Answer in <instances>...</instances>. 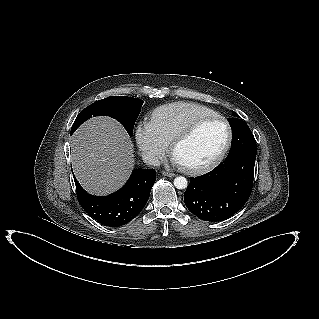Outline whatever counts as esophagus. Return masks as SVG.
Returning a JSON list of instances; mask_svg holds the SVG:
<instances>
[{"label": "esophagus", "mask_w": 319, "mask_h": 319, "mask_svg": "<svg viewBox=\"0 0 319 319\" xmlns=\"http://www.w3.org/2000/svg\"><path fill=\"white\" fill-rule=\"evenodd\" d=\"M162 175H163V176H166V177H174V176H175L174 173L168 172V171H163V172H162Z\"/></svg>", "instance_id": "34e87169"}]
</instances>
